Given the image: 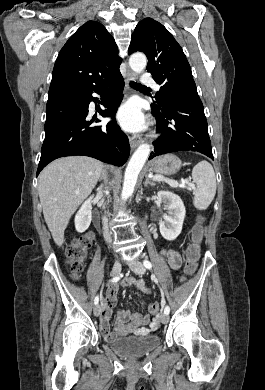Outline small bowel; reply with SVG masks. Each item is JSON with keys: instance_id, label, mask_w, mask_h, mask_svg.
<instances>
[{"instance_id": "c3829d8e", "label": "small bowel", "mask_w": 265, "mask_h": 390, "mask_svg": "<svg viewBox=\"0 0 265 390\" xmlns=\"http://www.w3.org/2000/svg\"><path fill=\"white\" fill-rule=\"evenodd\" d=\"M165 256L168 259L170 267L177 270L181 267V255L175 250H165ZM122 286H135L142 293H149L141 280L135 278H127L121 283ZM119 289L118 284L111 285L106 295L102 298V315L100 319V330L105 340L110 341L118 334L134 332L140 335L148 334L159 326L156 318L150 315L134 313L130 310H120L116 318V332H111L109 327V318L112 315V310L116 304V295Z\"/></svg>"}]
</instances>
